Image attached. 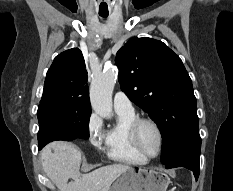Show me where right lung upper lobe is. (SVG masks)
<instances>
[{"mask_svg":"<svg viewBox=\"0 0 233 191\" xmlns=\"http://www.w3.org/2000/svg\"><path fill=\"white\" fill-rule=\"evenodd\" d=\"M41 103L91 110L87 71L78 48L66 50L54 59L46 74Z\"/></svg>","mask_w":233,"mask_h":191,"instance_id":"1","label":"right lung upper lobe"}]
</instances>
